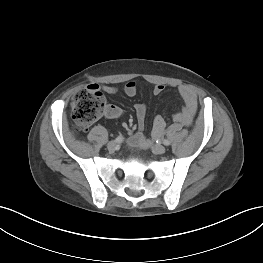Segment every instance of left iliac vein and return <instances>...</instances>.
Segmentation results:
<instances>
[{
	"instance_id": "obj_1",
	"label": "left iliac vein",
	"mask_w": 263,
	"mask_h": 263,
	"mask_svg": "<svg viewBox=\"0 0 263 263\" xmlns=\"http://www.w3.org/2000/svg\"><path fill=\"white\" fill-rule=\"evenodd\" d=\"M152 150L156 154H163L165 153L166 148L163 145L157 144V145L152 146Z\"/></svg>"
}]
</instances>
